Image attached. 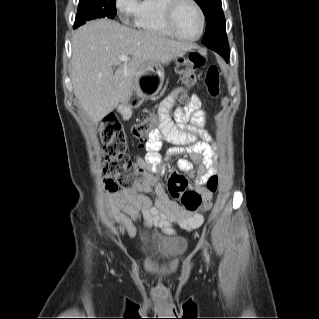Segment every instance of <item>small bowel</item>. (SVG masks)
<instances>
[{"label": "small bowel", "mask_w": 319, "mask_h": 319, "mask_svg": "<svg viewBox=\"0 0 319 319\" xmlns=\"http://www.w3.org/2000/svg\"><path fill=\"white\" fill-rule=\"evenodd\" d=\"M182 92H184L183 88L175 90L158 109L159 128L149 134L146 143L147 153L139 159L141 165L146 168L141 180L108 198L110 204L117 202V205L107 207L110 217L118 224L120 230L130 237L136 235V227L125 213L137 220H142L146 227L160 228L168 235L174 233L175 225L192 231L204 223L202 212H191L182 208L168 197L159 182V176L165 172V167L157 153L158 150L164 142L181 146L184 147L181 153L187 154L189 158L179 159L176 168L195 176V187L203 196L204 208L211 199V194L205 185L214 174L212 164L216 159L215 144L211 135L204 129L206 113L201 109L200 98L192 95L189 103L176 111L179 127L173 124L169 116L175 97ZM188 122L189 125H187ZM177 153L179 151L176 149L170 151V155ZM192 162L200 165L196 175H194ZM148 194L153 196V200L148 197Z\"/></svg>", "instance_id": "obj_1"}]
</instances>
